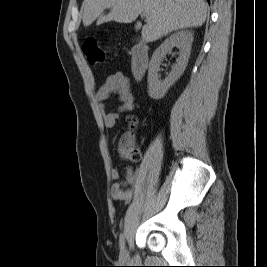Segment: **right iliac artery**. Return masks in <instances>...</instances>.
I'll return each mask as SVG.
<instances>
[{
	"label": "right iliac artery",
	"mask_w": 267,
	"mask_h": 267,
	"mask_svg": "<svg viewBox=\"0 0 267 267\" xmlns=\"http://www.w3.org/2000/svg\"><path fill=\"white\" fill-rule=\"evenodd\" d=\"M120 247L122 248L125 244V233L120 235V240H119Z\"/></svg>",
	"instance_id": "right-iliac-artery-1"
}]
</instances>
